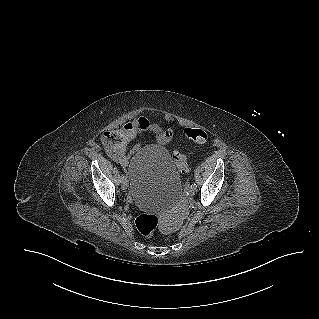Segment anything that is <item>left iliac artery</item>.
Wrapping results in <instances>:
<instances>
[{
  "mask_svg": "<svg viewBox=\"0 0 319 319\" xmlns=\"http://www.w3.org/2000/svg\"><path fill=\"white\" fill-rule=\"evenodd\" d=\"M189 186H193L195 189H196V187H197V185H196L195 183H193L192 185H187V188H188Z\"/></svg>",
  "mask_w": 319,
  "mask_h": 319,
  "instance_id": "1",
  "label": "left iliac artery"
}]
</instances>
